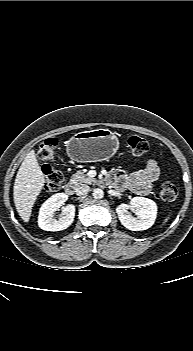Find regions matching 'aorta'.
Returning a JSON list of instances; mask_svg holds the SVG:
<instances>
[{
  "mask_svg": "<svg viewBox=\"0 0 193 351\" xmlns=\"http://www.w3.org/2000/svg\"><path fill=\"white\" fill-rule=\"evenodd\" d=\"M92 195L94 199H102L104 197V192L102 189L96 188L93 190Z\"/></svg>",
  "mask_w": 193,
  "mask_h": 351,
  "instance_id": "1",
  "label": "aorta"
}]
</instances>
